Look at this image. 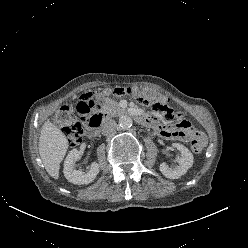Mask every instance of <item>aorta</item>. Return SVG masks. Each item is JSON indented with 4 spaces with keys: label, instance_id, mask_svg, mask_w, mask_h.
<instances>
[{
    "label": "aorta",
    "instance_id": "1",
    "mask_svg": "<svg viewBox=\"0 0 248 248\" xmlns=\"http://www.w3.org/2000/svg\"><path fill=\"white\" fill-rule=\"evenodd\" d=\"M133 120L127 115H123L119 118V126L123 129H128L132 126Z\"/></svg>",
    "mask_w": 248,
    "mask_h": 248
}]
</instances>
